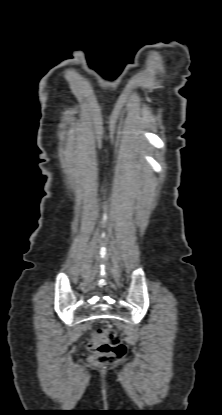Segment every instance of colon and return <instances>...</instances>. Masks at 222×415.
<instances>
[{"instance_id": "1", "label": "colon", "mask_w": 222, "mask_h": 415, "mask_svg": "<svg viewBox=\"0 0 222 415\" xmlns=\"http://www.w3.org/2000/svg\"><path fill=\"white\" fill-rule=\"evenodd\" d=\"M83 345L90 351L93 359L103 364L117 362L124 358L127 352L117 331L111 327L91 332L83 339Z\"/></svg>"}]
</instances>
